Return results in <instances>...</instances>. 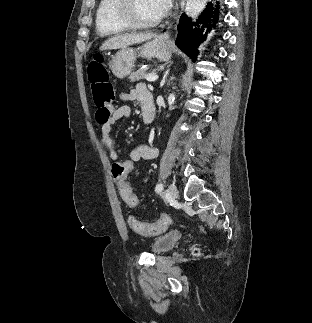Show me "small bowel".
I'll return each instance as SVG.
<instances>
[{
	"mask_svg": "<svg viewBox=\"0 0 312 323\" xmlns=\"http://www.w3.org/2000/svg\"><path fill=\"white\" fill-rule=\"evenodd\" d=\"M148 91L144 84H138L135 88L129 92H122L120 94L121 101H138L142 103L145 93ZM132 115V109L130 106L122 105L114 110L108 121L102 125L101 132L102 145L108 150L109 159L114 162V164H125L118 163V153L114 148V140L110 136L113 125H115L120 120H125L130 118ZM158 149L151 145H138L135 146L130 152V158H134V163L142 160H154L158 156ZM117 185V184H116ZM133 189V188H132Z\"/></svg>",
	"mask_w": 312,
	"mask_h": 323,
	"instance_id": "small-bowel-1",
	"label": "small bowel"
}]
</instances>
